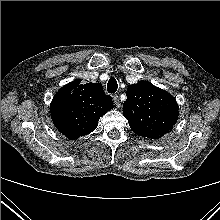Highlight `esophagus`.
<instances>
[{
    "instance_id": "34e87169",
    "label": "esophagus",
    "mask_w": 220,
    "mask_h": 220,
    "mask_svg": "<svg viewBox=\"0 0 220 220\" xmlns=\"http://www.w3.org/2000/svg\"><path fill=\"white\" fill-rule=\"evenodd\" d=\"M113 101H114V104L117 108H119L121 106L120 99H119L118 95L113 96Z\"/></svg>"
}]
</instances>
